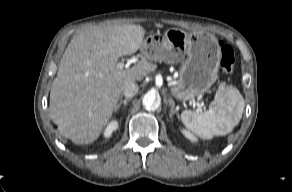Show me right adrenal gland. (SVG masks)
I'll list each match as a JSON object with an SVG mask.
<instances>
[{
  "mask_svg": "<svg viewBox=\"0 0 292 192\" xmlns=\"http://www.w3.org/2000/svg\"><path fill=\"white\" fill-rule=\"evenodd\" d=\"M129 100H130V98H125L124 100L121 99L120 102L117 104V106H116L114 112L117 113L118 110L120 109V107H121L122 104H123L124 108H126V106H127V102H128Z\"/></svg>",
  "mask_w": 292,
  "mask_h": 192,
  "instance_id": "obj_1",
  "label": "right adrenal gland"
}]
</instances>
